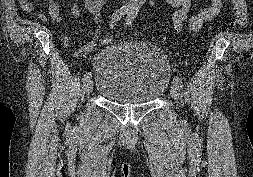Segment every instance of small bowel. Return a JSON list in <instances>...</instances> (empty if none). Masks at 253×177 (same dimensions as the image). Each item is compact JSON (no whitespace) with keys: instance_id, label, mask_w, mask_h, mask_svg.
Wrapping results in <instances>:
<instances>
[{"instance_id":"obj_1","label":"small bowel","mask_w":253,"mask_h":177,"mask_svg":"<svg viewBox=\"0 0 253 177\" xmlns=\"http://www.w3.org/2000/svg\"><path fill=\"white\" fill-rule=\"evenodd\" d=\"M47 3L48 15L41 13L39 18L46 20L48 16L55 22L63 20L60 6L55 0H44ZM107 0H72L70 4L71 12L74 18L78 21L80 18L79 4H82L84 9L88 11L94 23V29L89 31L92 42L81 48L80 53L86 54L97 41L100 33L101 24L103 21L102 8ZM170 6L175 8L172 15L174 29L177 32L185 31L190 34H196L202 30L204 24L212 20L219 13L222 7V0H209V4L199 10L196 14L189 16L190 9L193 5V0H165ZM21 9L24 13H29L33 8L32 0H19ZM70 39L66 38L68 42Z\"/></svg>"}]
</instances>
